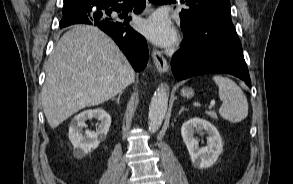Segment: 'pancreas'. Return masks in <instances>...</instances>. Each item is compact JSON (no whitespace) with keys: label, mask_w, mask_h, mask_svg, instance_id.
Returning a JSON list of instances; mask_svg holds the SVG:
<instances>
[{"label":"pancreas","mask_w":293,"mask_h":184,"mask_svg":"<svg viewBox=\"0 0 293 184\" xmlns=\"http://www.w3.org/2000/svg\"><path fill=\"white\" fill-rule=\"evenodd\" d=\"M208 115H210V116H211L212 118H214V119H217V118H218L216 112H214V111H210V112L208 113Z\"/></svg>","instance_id":"pancreas-1"}]
</instances>
